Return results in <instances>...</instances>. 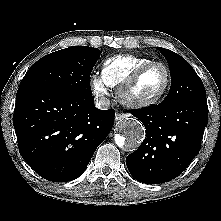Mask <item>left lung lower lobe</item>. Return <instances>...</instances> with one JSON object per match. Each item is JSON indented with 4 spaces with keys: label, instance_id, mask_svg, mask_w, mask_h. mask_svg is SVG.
<instances>
[{
    "label": "left lung lower lobe",
    "instance_id": "obj_1",
    "mask_svg": "<svg viewBox=\"0 0 221 221\" xmlns=\"http://www.w3.org/2000/svg\"><path fill=\"white\" fill-rule=\"evenodd\" d=\"M131 112L146 128L140 147L126 157L131 175L147 184L176 178L200 150L208 122L206 97H190L174 104L161 102Z\"/></svg>",
    "mask_w": 221,
    "mask_h": 221
}]
</instances>
